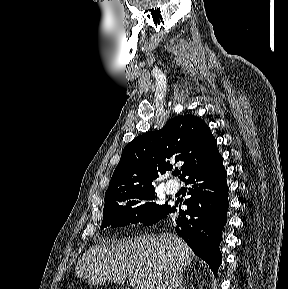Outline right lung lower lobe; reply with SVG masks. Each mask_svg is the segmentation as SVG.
<instances>
[{
	"label": "right lung lower lobe",
	"instance_id": "98d812e1",
	"mask_svg": "<svg viewBox=\"0 0 288 289\" xmlns=\"http://www.w3.org/2000/svg\"><path fill=\"white\" fill-rule=\"evenodd\" d=\"M226 176L223 158L218 152L184 180L185 184L191 186V197L183 202L187 210H180L181 204L176 202L162 217L178 212L179 206L175 228L177 234L197 256L209 264L215 275L221 264L219 242L222 240V228L229 206Z\"/></svg>",
	"mask_w": 288,
	"mask_h": 289
}]
</instances>
